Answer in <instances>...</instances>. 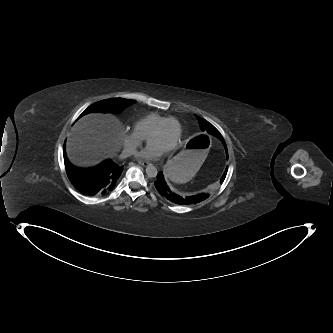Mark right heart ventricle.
<instances>
[{"label": "right heart ventricle", "instance_id": "right-heart-ventricle-1", "mask_svg": "<svg viewBox=\"0 0 333 333\" xmlns=\"http://www.w3.org/2000/svg\"><path fill=\"white\" fill-rule=\"evenodd\" d=\"M170 116L152 112L137 120L134 124V130L143 139H147L151 132L165 119Z\"/></svg>", "mask_w": 333, "mask_h": 333}]
</instances>
